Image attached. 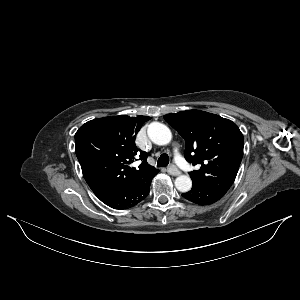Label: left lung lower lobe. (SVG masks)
Wrapping results in <instances>:
<instances>
[{
  "mask_svg": "<svg viewBox=\"0 0 300 300\" xmlns=\"http://www.w3.org/2000/svg\"><path fill=\"white\" fill-rule=\"evenodd\" d=\"M225 194L226 192L222 190L211 189L193 184L192 189L187 193H183L182 196L193 203L208 205L218 201Z\"/></svg>",
  "mask_w": 300,
  "mask_h": 300,
  "instance_id": "obj_1",
  "label": "left lung lower lobe"
}]
</instances>
